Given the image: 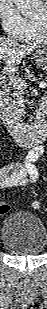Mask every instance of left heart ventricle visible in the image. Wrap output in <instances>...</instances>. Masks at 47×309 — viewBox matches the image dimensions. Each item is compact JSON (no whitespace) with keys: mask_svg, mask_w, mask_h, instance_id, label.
I'll return each instance as SVG.
<instances>
[{"mask_svg":"<svg viewBox=\"0 0 47 309\" xmlns=\"http://www.w3.org/2000/svg\"><path fill=\"white\" fill-rule=\"evenodd\" d=\"M46 18V13L43 11L41 14H39L38 16H36L34 19L37 21H41L43 22Z\"/></svg>","mask_w":47,"mask_h":309,"instance_id":"b2bd125f","label":"left heart ventricle"}]
</instances>
